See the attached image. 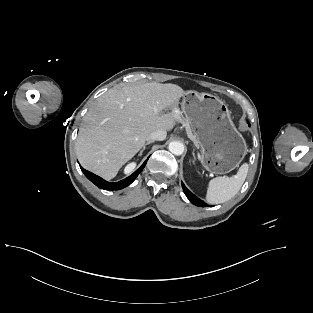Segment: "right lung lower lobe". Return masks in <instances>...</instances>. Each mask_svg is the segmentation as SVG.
Returning a JSON list of instances; mask_svg holds the SVG:
<instances>
[{
    "instance_id": "1",
    "label": "right lung lower lobe",
    "mask_w": 313,
    "mask_h": 313,
    "mask_svg": "<svg viewBox=\"0 0 313 313\" xmlns=\"http://www.w3.org/2000/svg\"><path fill=\"white\" fill-rule=\"evenodd\" d=\"M148 160V159H147ZM147 160L141 165V167L139 169H137L132 175H130L129 177L118 181V182H107L106 180L102 179L101 177L85 170L84 168H81L82 172L85 174V176L92 182L94 183L96 186H98L101 189L104 190H120L122 188L127 187L128 185H130L135 179L136 177L139 175V173L143 170V168L145 167Z\"/></svg>"
}]
</instances>
